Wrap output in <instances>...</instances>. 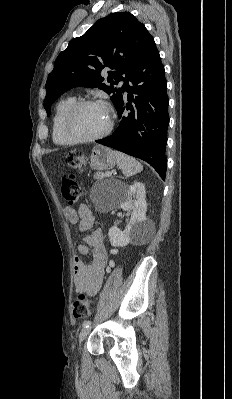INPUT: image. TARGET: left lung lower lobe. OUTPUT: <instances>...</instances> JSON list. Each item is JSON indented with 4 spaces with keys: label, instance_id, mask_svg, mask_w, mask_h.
<instances>
[{
    "label": "left lung lower lobe",
    "instance_id": "obj_1",
    "mask_svg": "<svg viewBox=\"0 0 232 399\" xmlns=\"http://www.w3.org/2000/svg\"><path fill=\"white\" fill-rule=\"evenodd\" d=\"M125 90L128 103L122 99L117 107L118 128L111 136L96 142L146 161L165 179L169 99L164 66L154 39L137 59L125 82Z\"/></svg>",
    "mask_w": 232,
    "mask_h": 399
}]
</instances>
